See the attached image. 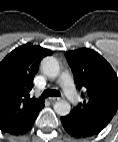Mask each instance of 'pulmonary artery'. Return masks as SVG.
Instances as JSON below:
<instances>
[{
    "label": "pulmonary artery",
    "mask_w": 118,
    "mask_h": 142,
    "mask_svg": "<svg viewBox=\"0 0 118 142\" xmlns=\"http://www.w3.org/2000/svg\"><path fill=\"white\" fill-rule=\"evenodd\" d=\"M61 84L67 97L75 102L78 99L77 93L73 87L72 78L68 73H63L61 76Z\"/></svg>",
    "instance_id": "pulmonary-artery-1"
}]
</instances>
